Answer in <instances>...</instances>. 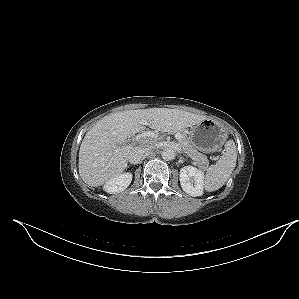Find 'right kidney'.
<instances>
[{
  "label": "right kidney",
  "instance_id": "1",
  "mask_svg": "<svg viewBox=\"0 0 299 299\" xmlns=\"http://www.w3.org/2000/svg\"><path fill=\"white\" fill-rule=\"evenodd\" d=\"M132 181L131 173H123L111 178L103 187L104 191L110 194H116L124 191Z\"/></svg>",
  "mask_w": 299,
  "mask_h": 299
}]
</instances>
